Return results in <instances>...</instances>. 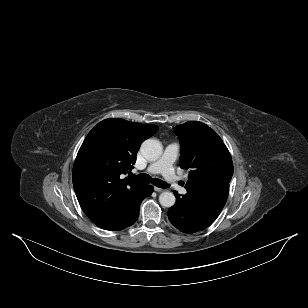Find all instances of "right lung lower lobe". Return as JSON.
Wrapping results in <instances>:
<instances>
[{"instance_id": "obj_1", "label": "right lung lower lobe", "mask_w": 308, "mask_h": 308, "mask_svg": "<svg viewBox=\"0 0 308 308\" xmlns=\"http://www.w3.org/2000/svg\"><path fill=\"white\" fill-rule=\"evenodd\" d=\"M152 192L153 187L151 185H144L142 190L139 192V195L132 202L130 210L119 221L97 226L109 231H119L131 226L138 218L141 201L151 195Z\"/></svg>"}]
</instances>
